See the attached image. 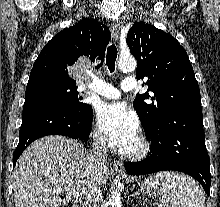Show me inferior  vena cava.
<instances>
[{
  "instance_id": "1",
  "label": "inferior vena cava",
  "mask_w": 220,
  "mask_h": 207,
  "mask_svg": "<svg viewBox=\"0 0 220 207\" xmlns=\"http://www.w3.org/2000/svg\"><path fill=\"white\" fill-rule=\"evenodd\" d=\"M107 159L106 137L101 133L93 135V149L89 153L90 167L93 171H98L105 165ZM85 202L83 207H97V202L101 196V190L94 178L88 185L87 190L84 192Z\"/></svg>"
}]
</instances>
